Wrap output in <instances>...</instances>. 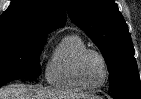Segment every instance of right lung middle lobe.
I'll list each match as a JSON object with an SVG mask.
<instances>
[{"label":"right lung middle lobe","mask_w":141,"mask_h":99,"mask_svg":"<svg viewBox=\"0 0 141 99\" xmlns=\"http://www.w3.org/2000/svg\"><path fill=\"white\" fill-rule=\"evenodd\" d=\"M45 41L25 35H0V87L40 75L39 55Z\"/></svg>","instance_id":"dd1d6c3e"}]
</instances>
